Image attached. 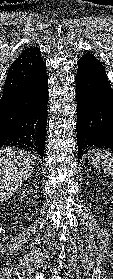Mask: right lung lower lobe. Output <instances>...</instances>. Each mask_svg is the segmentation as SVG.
Returning a JSON list of instances; mask_svg holds the SVG:
<instances>
[{
	"label": "right lung lower lobe",
	"instance_id": "1",
	"mask_svg": "<svg viewBox=\"0 0 113 279\" xmlns=\"http://www.w3.org/2000/svg\"><path fill=\"white\" fill-rule=\"evenodd\" d=\"M46 66L0 109V148L18 147L44 156L47 126Z\"/></svg>",
	"mask_w": 113,
	"mask_h": 279
}]
</instances>
